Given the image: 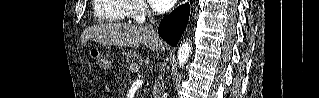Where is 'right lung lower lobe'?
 <instances>
[{
  "instance_id": "1",
  "label": "right lung lower lobe",
  "mask_w": 319,
  "mask_h": 98,
  "mask_svg": "<svg viewBox=\"0 0 319 98\" xmlns=\"http://www.w3.org/2000/svg\"><path fill=\"white\" fill-rule=\"evenodd\" d=\"M189 18V6L187 4L174 10L165 17L159 25V35L171 46H176L184 32Z\"/></svg>"
}]
</instances>
